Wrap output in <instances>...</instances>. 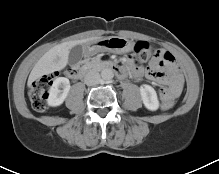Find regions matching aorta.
<instances>
[{
	"label": "aorta",
	"mask_w": 219,
	"mask_h": 174,
	"mask_svg": "<svg viewBox=\"0 0 219 174\" xmlns=\"http://www.w3.org/2000/svg\"><path fill=\"white\" fill-rule=\"evenodd\" d=\"M114 77V73L111 69L106 68L101 71V78L105 81L111 80Z\"/></svg>",
	"instance_id": "aorta-1"
}]
</instances>
